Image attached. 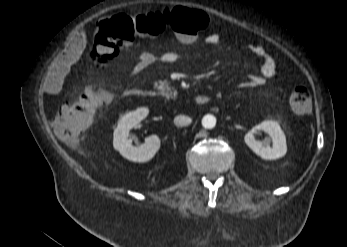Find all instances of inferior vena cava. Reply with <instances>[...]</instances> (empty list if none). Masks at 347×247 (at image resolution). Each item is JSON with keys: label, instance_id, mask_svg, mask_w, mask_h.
<instances>
[{"label": "inferior vena cava", "instance_id": "inferior-vena-cava-1", "mask_svg": "<svg viewBox=\"0 0 347 247\" xmlns=\"http://www.w3.org/2000/svg\"><path fill=\"white\" fill-rule=\"evenodd\" d=\"M191 122V118L185 115H178L174 118V124L176 126H188Z\"/></svg>", "mask_w": 347, "mask_h": 247}]
</instances>
